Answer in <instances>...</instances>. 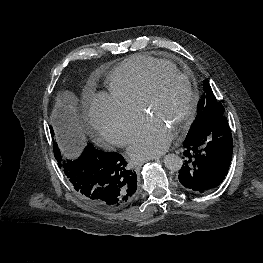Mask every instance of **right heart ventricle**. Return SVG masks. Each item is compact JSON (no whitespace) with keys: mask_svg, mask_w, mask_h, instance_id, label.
I'll return each mask as SVG.
<instances>
[{"mask_svg":"<svg viewBox=\"0 0 263 263\" xmlns=\"http://www.w3.org/2000/svg\"><path fill=\"white\" fill-rule=\"evenodd\" d=\"M157 68L177 69L169 61L145 55L126 59L108 77L111 95L125 104L140 108L145 87Z\"/></svg>","mask_w":263,"mask_h":263,"instance_id":"obj_1","label":"right heart ventricle"}]
</instances>
